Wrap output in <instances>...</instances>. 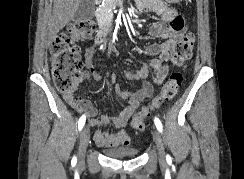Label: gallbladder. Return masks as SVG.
<instances>
[{
    "label": "gallbladder",
    "mask_w": 244,
    "mask_h": 179,
    "mask_svg": "<svg viewBox=\"0 0 244 179\" xmlns=\"http://www.w3.org/2000/svg\"><path fill=\"white\" fill-rule=\"evenodd\" d=\"M95 0H81L77 12L74 14L73 22H84L94 18Z\"/></svg>",
    "instance_id": "bac80fb5"
}]
</instances>
